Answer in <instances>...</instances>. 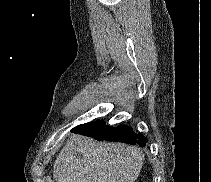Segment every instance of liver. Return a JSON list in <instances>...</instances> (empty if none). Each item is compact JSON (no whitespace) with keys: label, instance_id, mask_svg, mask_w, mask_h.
I'll use <instances>...</instances> for the list:
<instances>
[{"label":"liver","instance_id":"liver-1","mask_svg":"<svg viewBox=\"0 0 211 182\" xmlns=\"http://www.w3.org/2000/svg\"><path fill=\"white\" fill-rule=\"evenodd\" d=\"M144 155L134 146L72 135L53 166L56 182H134Z\"/></svg>","mask_w":211,"mask_h":182}]
</instances>
